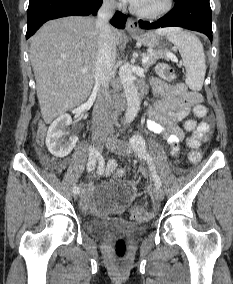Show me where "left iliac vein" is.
<instances>
[{"instance_id":"4c4485c4","label":"left iliac vein","mask_w":233,"mask_h":284,"mask_svg":"<svg viewBox=\"0 0 233 284\" xmlns=\"http://www.w3.org/2000/svg\"><path fill=\"white\" fill-rule=\"evenodd\" d=\"M106 146L111 151L124 156L130 155L132 152V148L128 142L116 137L108 138ZM153 195L157 200H162L164 198V192L160 187H155L153 189Z\"/></svg>"}]
</instances>
